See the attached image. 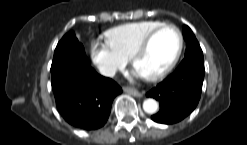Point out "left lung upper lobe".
<instances>
[{
	"instance_id": "left-lung-upper-lobe-1",
	"label": "left lung upper lobe",
	"mask_w": 247,
	"mask_h": 145,
	"mask_svg": "<svg viewBox=\"0 0 247 145\" xmlns=\"http://www.w3.org/2000/svg\"><path fill=\"white\" fill-rule=\"evenodd\" d=\"M183 37L186 41V51H185V57L188 56H203L202 49L192 32V30L184 25L183 27Z\"/></svg>"
}]
</instances>
